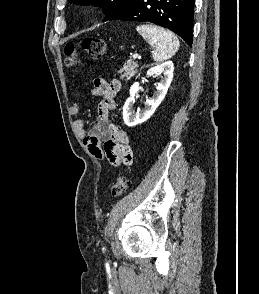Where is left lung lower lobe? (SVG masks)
<instances>
[{"mask_svg":"<svg viewBox=\"0 0 259 294\" xmlns=\"http://www.w3.org/2000/svg\"><path fill=\"white\" fill-rule=\"evenodd\" d=\"M195 0H134L108 20L151 22L178 34L192 45Z\"/></svg>","mask_w":259,"mask_h":294,"instance_id":"1","label":"left lung lower lobe"}]
</instances>
